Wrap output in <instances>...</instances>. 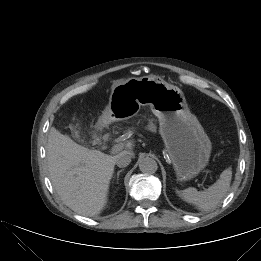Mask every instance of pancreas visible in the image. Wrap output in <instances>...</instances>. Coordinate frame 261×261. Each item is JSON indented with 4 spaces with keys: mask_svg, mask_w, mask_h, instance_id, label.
<instances>
[{
    "mask_svg": "<svg viewBox=\"0 0 261 261\" xmlns=\"http://www.w3.org/2000/svg\"><path fill=\"white\" fill-rule=\"evenodd\" d=\"M148 128H149V130L152 131V132H154V131L156 130V126H155L153 123H150V124L148 125Z\"/></svg>",
    "mask_w": 261,
    "mask_h": 261,
    "instance_id": "cf45deb5",
    "label": "pancreas"
}]
</instances>
